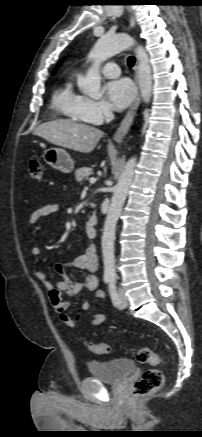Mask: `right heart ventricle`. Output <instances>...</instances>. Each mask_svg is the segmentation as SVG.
Wrapping results in <instances>:
<instances>
[{"instance_id": "right-heart-ventricle-1", "label": "right heart ventricle", "mask_w": 202, "mask_h": 437, "mask_svg": "<svg viewBox=\"0 0 202 437\" xmlns=\"http://www.w3.org/2000/svg\"><path fill=\"white\" fill-rule=\"evenodd\" d=\"M84 96L74 89L73 78L66 79L52 97L53 108L61 115L77 122H88L81 113Z\"/></svg>"}]
</instances>
